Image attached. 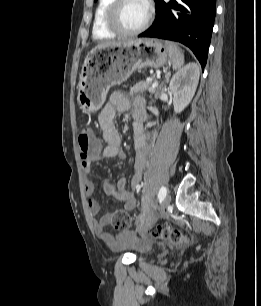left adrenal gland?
Returning a JSON list of instances; mask_svg holds the SVG:
<instances>
[{
	"label": "left adrenal gland",
	"mask_w": 261,
	"mask_h": 306,
	"mask_svg": "<svg viewBox=\"0 0 261 306\" xmlns=\"http://www.w3.org/2000/svg\"><path fill=\"white\" fill-rule=\"evenodd\" d=\"M169 75H170V73H167V74L165 75L167 81H168Z\"/></svg>",
	"instance_id": "1"
}]
</instances>
